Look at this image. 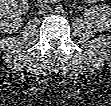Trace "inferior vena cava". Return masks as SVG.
Instances as JSON below:
<instances>
[{
  "mask_svg": "<svg viewBox=\"0 0 111 106\" xmlns=\"http://www.w3.org/2000/svg\"><path fill=\"white\" fill-rule=\"evenodd\" d=\"M51 11V7L48 4H41L39 6V14H46Z\"/></svg>",
  "mask_w": 111,
  "mask_h": 106,
  "instance_id": "inferior-vena-cava-1",
  "label": "inferior vena cava"
}]
</instances>
